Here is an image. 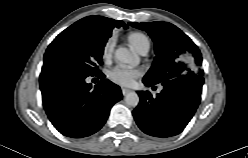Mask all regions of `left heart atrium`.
<instances>
[{"label":"left heart atrium","mask_w":248,"mask_h":158,"mask_svg":"<svg viewBox=\"0 0 248 158\" xmlns=\"http://www.w3.org/2000/svg\"><path fill=\"white\" fill-rule=\"evenodd\" d=\"M142 74L140 69L117 65L108 71V78L120 86L131 85Z\"/></svg>","instance_id":"1"}]
</instances>
